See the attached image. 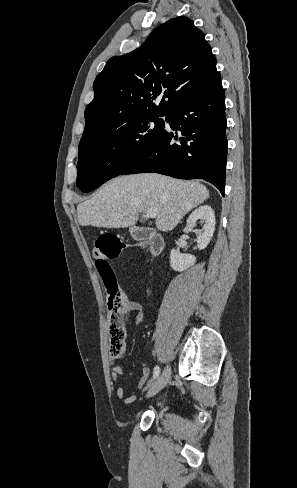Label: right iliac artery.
<instances>
[{
	"label": "right iliac artery",
	"mask_w": 297,
	"mask_h": 488,
	"mask_svg": "<svg viewBox=\"0 0 297 488\" xmlns=\"http://www.w3.org/2000/svg\"><path fill=\"white\" fill-rule=\"evenodd\" d=\"M159 374H160V368H159V366H155L154 372H153V378L154 379L157 378L159 376Z\"/></svg>",
	"instance_id": "82829eb1"
}]
</instances>
